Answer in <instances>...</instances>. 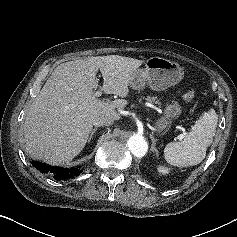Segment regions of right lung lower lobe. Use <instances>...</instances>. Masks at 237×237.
I'll return each instance as SVG.
<instances>
[{
  "label": "right lung lower lobe",
  "mask_w": 237,
  "mask_h": 237,
  "mask_svg": "<svg viewBox=\"0 0 237 237\" xmlns=\"http://www.w3.org/2000/svg\"><path fill=\"white\" fill-rule=\"evenodd\" d=\"M32 165L41 173H48L53 175L55 180L69 179L74 176H79L82 172V170L79 168L54 167L39 161H33Z\"/></svg>",
  "instance_id": "obj_1"
}]
</instances>
